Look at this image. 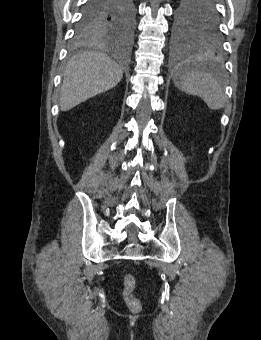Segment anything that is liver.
Masks as SVG:
<instances>
[{
	"instance_id": "liver-1",
	"label": "liver",
	"mask_w": 261,
	"mask_h": 340,
	"mask_svg": "<svg viewBox=\"0 0 261 340\" xmlns=\"http://www.w3.org/2000/svg\"><path fill=\"white\" fill-rule=\"evenodd\" d=\"M122 68L107 54L84 51L67 64L60 93V109L68 111L87 99L115 87Z\"/></svg>"
}]
</instances>
